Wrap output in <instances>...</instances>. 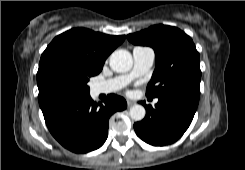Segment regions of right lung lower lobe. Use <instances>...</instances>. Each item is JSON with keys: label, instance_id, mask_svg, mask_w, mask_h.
Masks as SVG:
<instances>
[{"label": "right lung lower lobe", "instance_id": "right-lung-lower-lobe-1", "mask_svg": "<svg viewBox=\"0 0 245 170\" xmlns=\"http://www.w3.org/2000/svg\"><path fill=\"white\" fill-rule=\"evenodd\" d=\"M124 98L107 96L104 104L93 102L90 95L62 103L43 112L54 138L75 153H86L101 147L108 135L109 118L126 109Z\"/></svg>", "mask_w": 245, "mask_h": 170}]
</instances>
